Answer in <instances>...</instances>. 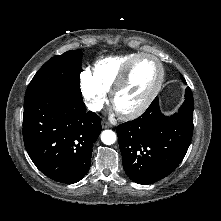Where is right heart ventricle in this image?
<instances>
[{
    "label": "right heart ventricle",
    "instance_id": "right-heart-ventricle-1",
    "mask_svg": "<svg viewBox=\"0 0 221 221\" xmlns=\"http://www.w3.org/2000/svg\"><path fill=\"white\" fill-rule=\"evenodd\" d=\"M140 53L109 56L95 62L92 75L95 81L107 92L111 91L124 67Z\"/></svg>",
    "mask_w": 221,
    "mask_h": 221
}]
</instances>
